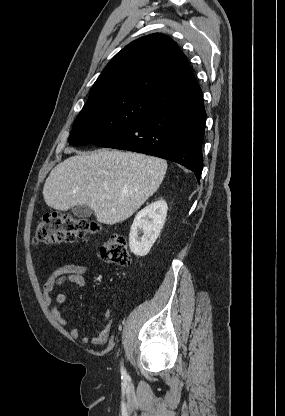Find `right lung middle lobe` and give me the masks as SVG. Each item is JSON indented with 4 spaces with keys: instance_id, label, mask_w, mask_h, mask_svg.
Returning <instances> with one entry per match:
<instances>
[{
    "instance_id": "1",
    "label": "right lung middle lobe",
    "mask_w": 285,
    "mask_h": 416,
    "mask_svg": "<svg viewBox=\"0 0 285 416\" xmlns=\"http://www.w3.org/2000/svg\"><path fill=\"white\" fill-rule=\"evenodd\" d=\"M160 107L145 98L129 96L83 108L74 121L68 142L74 146L94 144Z\"/></svg>"
}]
</instances>
